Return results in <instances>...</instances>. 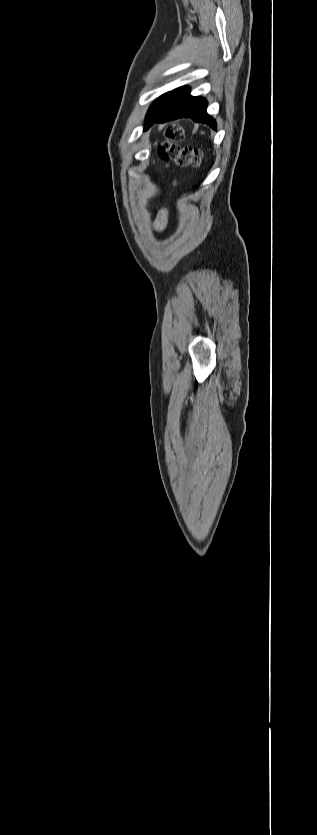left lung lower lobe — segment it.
I'll list each match as a JSON object with an SVG mask.
<instances>
[{
	"label": "left lung lower lobe",
	"mask_w": 317,
	"mask_h": 835,
	"mask_svg": "<svg viewBox=\"0 0 317 835\" xmlns=\"http://www.w3.org/2000/svg\"><path fill=\"white\" fill-rule=\"evenodd\" d=\"M189 92V87L173 90L162 108L153 117L146 120L144 129H148L153 123L191 118L195 122L205 123L216 130V121L206 112V99L191 96Z\"/></svg>",
	"instance_id": "1"
}]
</instances>
